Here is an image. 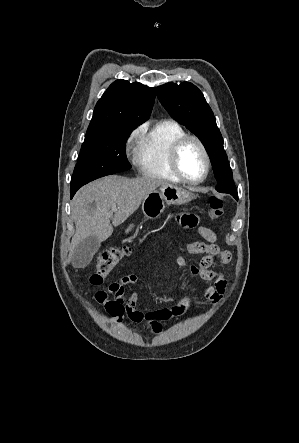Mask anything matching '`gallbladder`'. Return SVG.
<instances>
[{
    "instance_id": "obj_1",
    "label": "gallbladder",
    "mask_w": 299,
    "mask_h": 443,
    "mask_svg": "<svg viewBox=\"0 0 299 443\" xmlns=\"http://www.w3.org/2000/svg\"><path fill=\"white\" fill-rule=\"evenodd\" d=\"M100 246L101 243L96 237H87L75 247L73 254L74 263L82 267L88 265Z\"/></svg>"
}]
</instances>
